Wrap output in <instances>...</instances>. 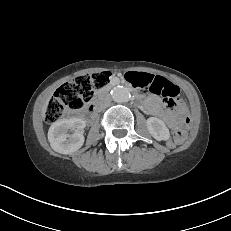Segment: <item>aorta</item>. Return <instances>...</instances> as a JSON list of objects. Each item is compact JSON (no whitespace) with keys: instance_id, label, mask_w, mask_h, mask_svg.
<instances>
[{"instance_id":"762f6f07","label":"aorta","mask_w":231,"mask_h":231,"mask_svg":"<svg viewBox=\"0 0 231 231\" xmlns=\"http://www.w3.org/2000/svg\"><path fill=\"white\" fill-rule=\"evenodd\" d=\"M112 99L117 103H125L130 100V92L123 86H116L111 91Z\"/></svg>"}]
</instances>
